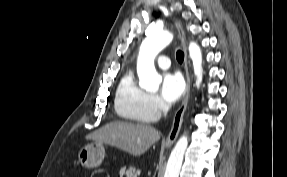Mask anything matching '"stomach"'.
<instances>
[{"mask_svg":"<svg viewBox=\"0 0 287 177\" xmlns=\"http://www.w3.org/2000/svg\"><path fill=\"white\" fill-rule=\"evenodd\" d=\"M105 156V148L102 143H90L82 147L78 153V161L82 167L90 169L98 167Z\"/></svg>","mask_w":287,"mask_h":177,"instance_id":"stomach-1","label":"stomach"}]
</instances>
